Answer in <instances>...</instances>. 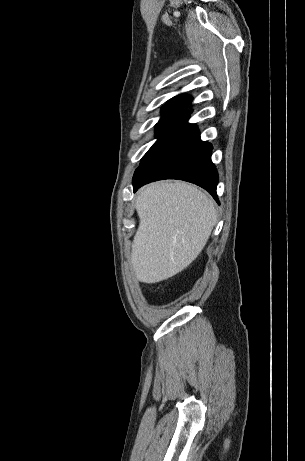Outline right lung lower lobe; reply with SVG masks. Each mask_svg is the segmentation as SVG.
<instances>
[{
  "label": "right lung lower lobe",
  "instance_id": "obj_1",
  "mask_svg": "<svg viewBox=\"0 0 305 461\" xmlns=\"http://www.w3.org/2000/svg\"><path fill=\"white\" fill-rule=\"evenodd\" d=\"M190 113L187 110L168 136L141 160L133 177L134 191L149 182L180 179L204 188L218 202L212 145L201 141L197 126L188 123Z\"/></svg>",
  "mask_w": 305,
  "mask_h": 461
}]
</instances>
